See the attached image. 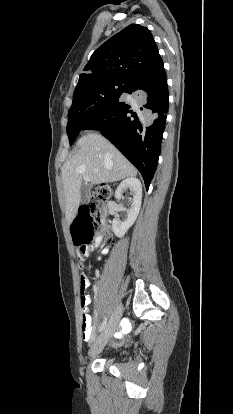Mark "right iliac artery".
<instances>
[{
    "label": "right iliac artery",
    "instance_id": "1",
    "mask_svg": "<svg viewBox=\"0 0 233 414\" xmlns=\"http://www.w3.org/2000/svg\"><path fill=\"white\" fill-rule=\"evenodd\" d=\"M106 325H107V318L104 319L103 322L101 323V326H100V330L99 331H102L103 329H105Z\"/></svg>",
    "mask_w": 233,
    "mask_h": 414
}]
</instances>
